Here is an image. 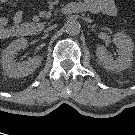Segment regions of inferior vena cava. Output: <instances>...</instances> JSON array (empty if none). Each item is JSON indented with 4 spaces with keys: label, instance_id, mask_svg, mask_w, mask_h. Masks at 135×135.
<instances>
[{
    "label": "inferior vena cava",
    "instance_id": "1",
    "mask_svg": "<svg viewBox=\"0 0 135 135\" xmlns=\"http://www.w3.org/2000/svg\"><path fill=\"white\" fill-rule=\"evenodd\" d=\"M54 27H55V26L49 27L47 30H45V32H48V31L54 29Z\"/></svg>",
    "mask_w": 135,
    "mask_h": 135
}]
</instances>
